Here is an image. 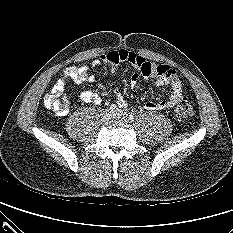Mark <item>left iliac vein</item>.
<instances>
[{
	"instance_id": "4c4485c4",
	"label": "left iliac vein",
	"mask_w": 233,
	"mask_h": 233,
	"mask_svg": "<svg viewBox=\"0 0 233 233\" xmlns=\"http://www.w3.org/2000/svg\"><path fill=\"white\" fill-rule=\"evenodd\" d=\"M112 118L127 120V114H126V112H124L122 110H117L116 112L113 113Z\"/></svg>"
}]
</instances>
